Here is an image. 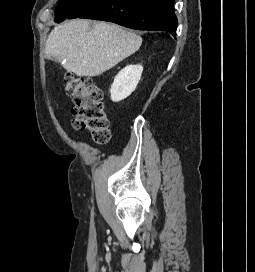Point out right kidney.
<instances>
[{
    "label": "right kidney",
    "mask_w": 255,
    "mask_h": 272,
    "mask_svg": "<svg viewBox=\"0 0 255 272\" xmlns=\"http://www.w3.org/2000/svg\"><path fill=\"white\" fill-rule=\"evenodd\" d=\"M143 72L141 65H128L114 78L110 89L111 100L119 102L127 98L137 87Z\"/></svg>",
    "instance_id": "obj_1"
}]
</instances>
